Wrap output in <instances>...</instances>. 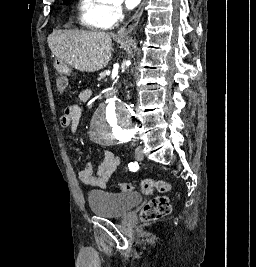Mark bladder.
<instances>
[{
	"label": "bladder",
	"instance_id": "obj_1",
	"mask_svg": "<svg viewBox=\"0 0 256 267\" xmlns=\"http://www.w3.org/2000/svg\"><path fill=\"white\" fill-rule=\"evenodd\" d=\"M88 201L94 215L121 218L131 212L136 205L142 204L143 198L141 195H123L95 190L89 192Z\"/></svg>",
	"mask_w": 256,
	"mask_h": 267
}]
</instances>
